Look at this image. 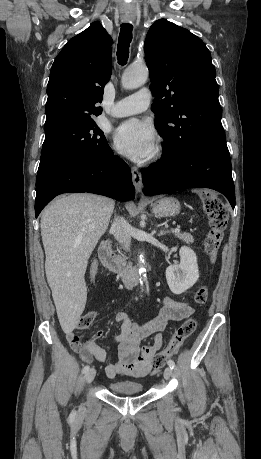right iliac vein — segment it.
<instances>
[{"instance_id":"1","label":"right iliac vein","mask_w":261,"mask_h":459,"mask_svg":"<svg viewBox=\"0 0 261 459\" xmlns=\"http://www.w3.org/2000/svg\"><path fill=\"white\" fill-rule=\"evenodd\" d=\"M95 375H96V370H95L94 368L89 369V370L85 373L84 381H85L86 383L92 382L93 379L95 378Z\"/></svg>"}]
</instances>
